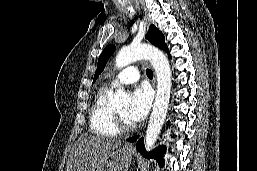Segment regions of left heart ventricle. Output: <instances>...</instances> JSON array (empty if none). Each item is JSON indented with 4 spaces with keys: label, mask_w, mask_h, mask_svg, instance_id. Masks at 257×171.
<instances>
[{
    "label": "left heart ventricle",
    "mask_w": 257,
    "mask_h": 171,
    "mask_svg": "<svg viewBox=\"0 0 257 171\" xmlns=\"http://www.w3.org/2000/svg\"><path fill=\"white\" fill-rule=\"evenodd\" d=\"M127 121L132 122L128 117V105L121 106L116 109Z\"/></svg>",
    "instance_id": "left-heart-ventricle-1"
}]
</instances>
